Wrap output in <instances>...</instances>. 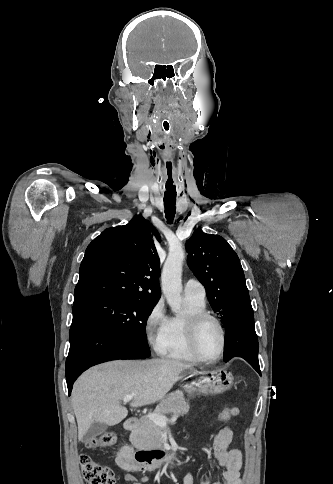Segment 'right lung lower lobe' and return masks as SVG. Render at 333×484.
I'll use <instances>...</instances> for the list:
<instances>
[{
    "instance_id": "98d812e1",
    "label": "right lung lower lobe",
    "mask_w": 333,
    "mask_h": 484,
    "mask_svg": "<svg viewBox=\"0 0 333 484\" xmlns=\"http://www.w3.org/2000/svg\"><path fill=\"white\" fill-rule=\"evenodd\" d=\"M146 355L91 314L76 310L70 328L66 360L68 392L77 377L90 366L113 359H144Z\"/></svg>"
}]
</instances>
